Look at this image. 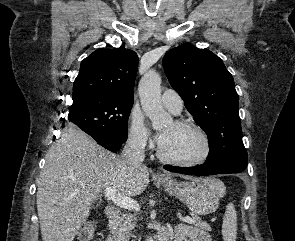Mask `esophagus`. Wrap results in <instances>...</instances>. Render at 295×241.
<instances>
[{
  "instance_id": "34e87169",
  "label": "esophagus",
  "mask_w": 295,
  "mask_h": 241,
  "mask_svg": "<svg viewBox=\"0 0 295 241\" xmlns=\"http://www.w3.org/2000/svg\"><path fill=\"white\" fill-rule=\"evenodd\" d=\"M155 176L158 177V178H162V179H168L169 178L167 175H165V174H163L161 172H157L155 174Z\"/></svg>"
}]
</instances>
